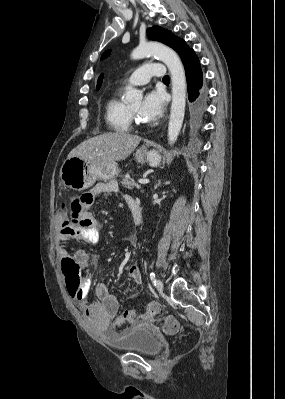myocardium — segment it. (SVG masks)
Masks as SVG:
<instances>
[{
    "label": "myocardium",
    "instance_id": "f54148a6",
    "mask_svg": "<svg viewBox=\"0 0 285 399\" xmlns=\"http://www.w3.org/2000/svg\"><path fill=\"white\" fill-rule=\"evenodd\" d=\"M130 114H131V120L134 122L136 125H141L143 122L141 118L137 115L136 112H134L131 108L129 109Z\"/></svg>",
    "mask_w": 285,
    "mask_h": 399
}]
</instances>
